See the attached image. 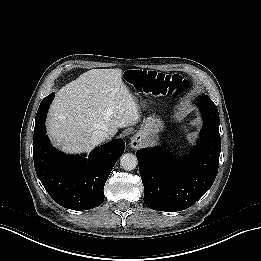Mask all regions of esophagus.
Here are the masks:
<instances>
[{
  "label": "esophagus",
  "mask_w": 261,
  "mask_h": 261,
  "mask_svg": "<svg viewBox=\"0 0 261 261\" xmlns=\"http://www.w3.org/2000/svg\"><path fill=\"white\" fill-rule=\"evenodd\" d=\"M142 144L141 138H138L137 136L132 137L130 146L134 149H138Z\"/></svg>",
  "instance_id": "obj_1"
}]
</instances>
